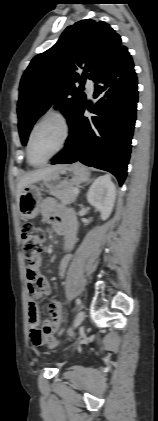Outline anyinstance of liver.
<instances>
[{
	"label": "liver",
	"mask_w": 158,
	"mask_h": 421,
	"mask_svg": "<svg viewBox=\"0 0 158 421\" xmlns=\"http://www.w3.org/2000/svg\"><path fill=\"white\" fill-rule=\"evenodd\" d=\"M62 166L63 165L47 166L45 168H41L38 170H34L32 172H29L25 176H23L17 185V194H16L17 203L19 202V197L24 186L43 180L52 172H54L55 170H57L58 168Z\"/></svg>",
	"instance_id": "6515ba94"
}]
</instances>
